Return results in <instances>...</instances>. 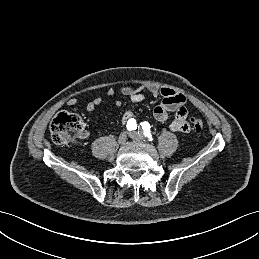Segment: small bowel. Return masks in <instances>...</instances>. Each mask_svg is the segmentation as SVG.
<instances>
[{
	"instance_id": "c3829d8e",
	"label": "small bowel",
	"mask_w": 259,
	"mask_h": 259,
	"mask_svg": "<svg viewBox=\"0 0 259 259\" xmlns=\"http://www.w3.org/2000/svg\"><path fill=\"white\" fill-rule=\"evenodd\" d=\"M144 91H148L153 96H161V102L154 108L153 115L154 118L161 123L167 122L169 119V114L174 112V118L169 125L170 130L174 132L187 133L190 131V124L187 121L188 111L185 107L186 97L169 87L156 88L154 86L142 87V86H123L121 88V93L123 95L129 96L133 104H139L145 99ZM114 95V90L110 88L107 91V96L111 97ZM76 99L69 100V105H74ZM102 103V98L97 97L90 101L86 110L88 112H93ZM133 118V112L127 110L122 117L124 123H127L129 119ZM89 136L88 131L83 130L80 132L79 137L85 139Z\"/></svg>"
}]
</instances>
